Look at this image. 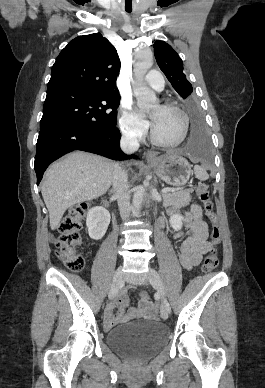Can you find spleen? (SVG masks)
Returning a JSON list of instances; mask_svg holds the SVG:
<instances>
[{
    "instance_id": "obj_1",
    "label": "spleen",
    "mask_w": 265,
    "mask_h": 388,
    "mask_svg": "<svg viewBox=\"0 0 265 388\" xmlns=\"http://www.w3.org/2000/svg\"><path fill=\"white\" fill-rule=\"evenodd\" d=\"M194 174L199 180H206V178H208L205 170H203L201 166H194Z\"/></svg>"
}]
</instances>
